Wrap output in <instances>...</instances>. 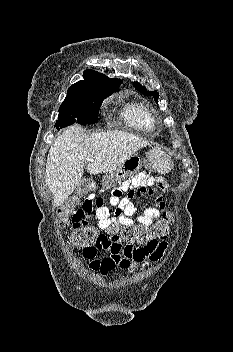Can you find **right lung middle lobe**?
<instances>
[{
	"label": "right lung middle lobe",
	"instance_id": "1",
	"mask_svg": "<svg viewBox=\"0 0 233 352\" xmlns=\"http://www.w3.org/2000/svg\"><path fill=\"white\" fill-rule=\"evenodd\" d=\"M115 91L100 87H86L72 95H67L59 108L55 127L59 130L75 122L96 123L102 100Z\"/></svg>",
	"mask_w": 233,
	"mask_h": 352
}]
</instances>
